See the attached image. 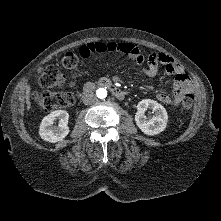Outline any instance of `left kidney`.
Here are the masks:
<instances>
[{
	"mask_svg": "<svg viewBox=\"0 0 221 221\" xmlns=\"http://www.w3.org/2000/svg\"><path fill=\"white\" fill-rule=\"evenodd\" d=\"M147 109L152 110L154 114L152 118L145 116ZM167 120L166 109L157 101L144 99L138 103L135 122L144 134L153 136L161 133L167 126Z\"/></svg>",
	"mask_w": 221,
	"mask_h": 221,
	"instance_id": "1",
	"label": "left kidney"
}]
</instances>
